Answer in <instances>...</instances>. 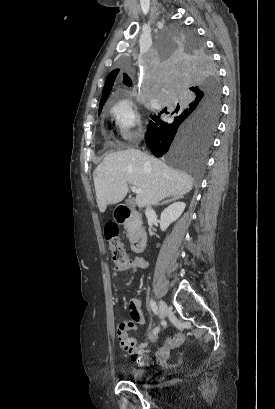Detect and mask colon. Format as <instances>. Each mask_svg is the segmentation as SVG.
Masks as SVG:
<instances>
[{"mask_svg":"<svg viewBox=\"0 0 275 409\" xmlns=\"http://www.w3.org/2000/svg\"><path fill=\"white\" fill-rule=\"evenodd\" d=\"M120 230L119 226L116 223H108L104 226V238L107 240L110 250L112 251L113 256L115 257L116 269L117 270H126L128 265L131 263V258L124 255V246L117 239L119 236ZM139 306V302L136 299H130L128 302V309L130 306ZM186 337L184 333H178L176 336L169 338L165 343L167 348H178L185 343Z\"/></svg>","mask_w":275,"mask_h":409,"instance_id":"obj_1","label":"colon"}]
</instances>
